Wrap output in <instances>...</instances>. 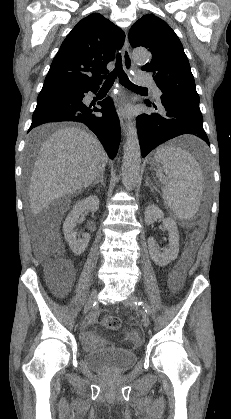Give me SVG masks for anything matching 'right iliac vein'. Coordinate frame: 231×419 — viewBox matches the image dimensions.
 <instances>
[{"label":"right iliac vein","mask_w":231,"mask_h":419,"mask_svg":"<svg viewBox=\"0 0 231 419\" xmlns=\"http://www.w3.org/2000/svg\"><path fill=\"white\" fill-rule=\"evenodd\" d=\"M96 297H97V291H96V290H94V291L90 294V296H89V298H88V300H87V302H86V304H85V306H84V309H83V313H84V314H86V313H88V312H89V310L91 309V307L93 306V304H94V302H95V300H96Z\"/></svg>","instance_id":"obj_1"}]
</instances>
